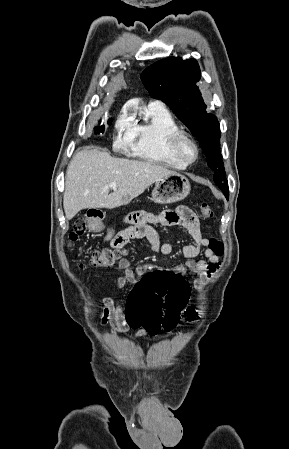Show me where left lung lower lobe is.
<instances>
[{"label":"left lung lower lobe","instance_id":"left-lung-lower-lobe-1","mask_svg":"<svg viewBox=\"0 0 289 449\" xmlns=\"http://www.w3.org/2000/svg\"><path fill=\"white\" fill-rule=\"evenodd\" d=\"M225 196H226V198H227V200H228V198H229V193H228V194H225Z\"/></svg>","mask_w":289,"mask_h":449}]
</instances>
